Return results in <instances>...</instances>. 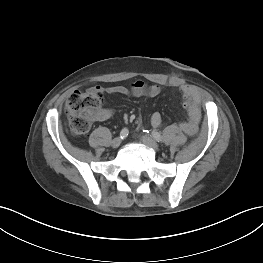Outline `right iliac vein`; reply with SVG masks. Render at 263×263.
Returning a JSON list of instances; mask_svg holds the SVG:
<instances>
[{
  "label": "right iliac vein",
  "instance_id": "63e3f726",
  "mask_svg": "<svg viewBox=\"0 0 263 263\" xmlns=\"http://www.w3.org/2000/svg\"><path fill=\"white\" fill-rule=\"evenodd\" d=\"M122 142V139L120 137H116L112 140L111 146L113 148H118Z\"/></svg>",
  "mask_w": 263,
  "mask_h": 263
}]
</instances>
